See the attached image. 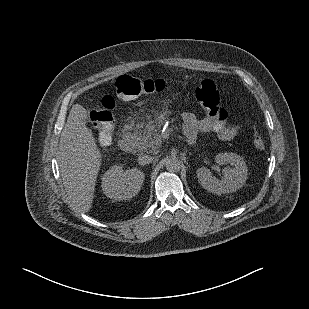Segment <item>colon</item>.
<instances>
[{"label":"colon","instance_id":"obj_1","mask_svg":"<svg viewBox=\"0 0 309 309\" xmlns=\"http://www.w3.org/2000/svg\"><path fill=\"white\" fill-rule=\"evenodd\" d=\"M116 94L104 95L101 99V108L96 111L92 121L97 127L98 139L102 143L111 140L115 130V119L113 111L117 104V99L131 101L141 95L159 93L165 90L166 83L162 79H140L123 75L117 78L115 84ZM195 97L199 106L209 118L219 122H225L229 115L220 105L219 90L211 79H204L195 90ZM253 145L258 151H264L265 142L258 132L253 134Z\"/></svg>","mask_w":309,"mask_h":309}]
</instances>
